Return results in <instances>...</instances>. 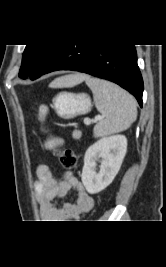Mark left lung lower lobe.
Here are the masks:
<instances>
[{
    "mask_svg": "<svg viewBox=\"0 0 166 267\" xmlns=\"http://www.w3.org/2000/svg\"><path fill=\"white\" fill-rule=\"evenodd\" d=\"M57 70L79 71L112 81L134 95L142 106L143 80L134 45H62L40 76Z\"/></svg>",
    "mask_w": 166,
    "mask_h": 267,
    "instance_id": "obj_1",
    "label": "left lung lower lobe"
}]
</instances>
